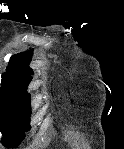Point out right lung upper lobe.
Here are the masks:
<instances>
[{
    "label": "right lung upper lobe",
    "instance_id": "obj_1",
    "mask_svg": "<svg viewBox=\"0 0 124 149\" xmlns=\"http://www.w3.org/2000/svg\"><path fill=\"white\" fill-rule=\"evenodd\" d=\"M31 57L32 50L13 55L6 72L2 75V82L11 87L26 89L33 74V70L29 67Z\"/></svg>",
    "mask_w": 124,
    "mask_h": 149
}]
</instances>
